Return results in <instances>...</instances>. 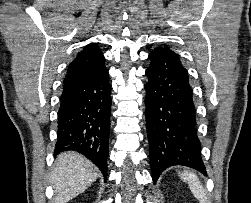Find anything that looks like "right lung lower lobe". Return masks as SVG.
<instances>
[{
	"instance_id": "98d812e1",
	"label": "right lung lower lobe",
	"mask_w": 251,
	"mask_h": 203,
	"mask_svg": "<svg viewBox=\"0 0 251 203\" xmlns=\"http://www.w3.org/2000/svg\"><path fill=\"white\" fill-rule=\"evenodd\" d=\"M111 86L101 66L63 89L58 111L55 152L77 151L90 159L107 180Z\"/></svg>"
}]
</instances>
